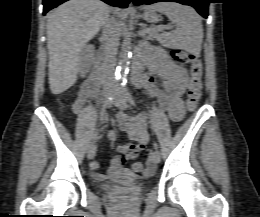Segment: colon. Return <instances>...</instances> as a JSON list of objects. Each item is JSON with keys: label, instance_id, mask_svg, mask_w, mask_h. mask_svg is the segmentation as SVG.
<instances>
[{"label": "colon", "instance_id": "obj_1", "mask_svg": "<svg viewBox=\"0 0 260 217\" xmlns=\"http://www.w3.org/2000/svg\"><path fill=\"white\" fill-rule=\"evenodd\" d=\"M171 56L178 63L190 65L191 78L189 83L187 109L189 111H194L198 106L202 94L203 64L201 58L196 53H190L182 50L172 51ZM133 169L137 173L145 172L144 165L139 162L133 164Z\"/></svg>", "mask_w": 260, "mask_h": 217}]
</instances>
